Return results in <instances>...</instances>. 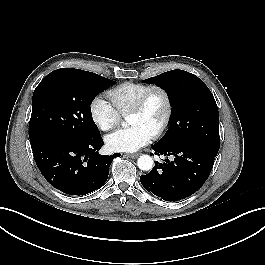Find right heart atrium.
Masks as SVG:
<instances>
[{
    "label": "right heart atrium",
    "instance_id": "1",
    "mask_svg": "<svg viewBox=\"0 0 265 265\" xmlns=\"http://www.w3.org/2000/svg\"><path fill=\"white\" fill-rule=\"evenodd\" d=\"M89 113L93 123L102 131H109L120 122L119 112L101 96H97L92 100Z\"/></svg>",
    "mask_w": 265,
    "mask_h": 265
}]
</instances>
